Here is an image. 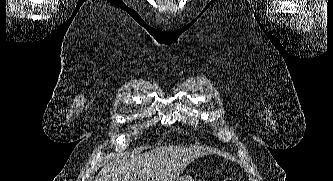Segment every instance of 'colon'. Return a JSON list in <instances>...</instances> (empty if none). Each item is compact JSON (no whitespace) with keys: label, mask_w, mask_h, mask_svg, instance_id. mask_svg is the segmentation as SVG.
<instances>
[{"label":"colon","mask_w":333,"mask_h":181,"mask_svg":"<svg viewBox=\"0 0 333 181\" xmlns=\"http://www.w3.org/2000/svg\"><path fill=\"white\" fill-rule=\"evenodd\" d=\"M224 181H235L232 177H227L224 179Z\"/></svg>","instance_id":"5ec220e1"}]
</instances>
